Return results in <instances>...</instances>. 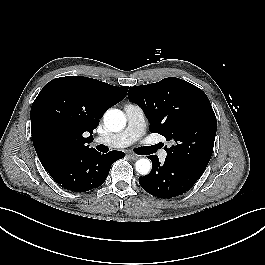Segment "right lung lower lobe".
Returning <instances> with one entry per match:
<instances>
[{
  "label": "right lung lower lobe",
  "mask_w": 265,
  "mask_h": 265,
  "mask_svg": "<svg viewBox=\"0 0 265 265\" xmlns=\"http://www.w3.org/2000/svg\"><path fill=\"white\" fill-rule=\"evenodd\" d=\"M124 155L121 151L101 154L92 149L47 162L43 167L63 188L85 192L101 186L109 174L111 165Z\"/></svg>",
  "instance_id": "1"
}]
</instances>
